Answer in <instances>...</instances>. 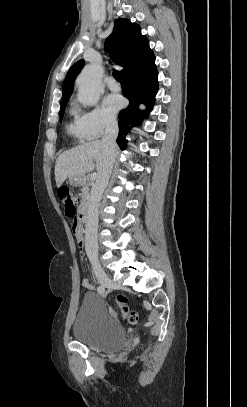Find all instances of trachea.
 Returning <instances> with one entry per match:
<instances>
[{
	"mask_svg": "<svg viewBox=\"0 0 247 407\" xmlns=\"http://www.w3.org/2000/svg\"><path fill=\"white\" fill-rule=\"evenodd\" d=\"M113 77L117 80L120 81L121 76H120V72L117 70H113Z\"/></svg>",
	"mask_w": 247,
	"mask_h": 407,
	"instance_id": "trachea-1",
	"label": "trachea"
}]
</instances>
